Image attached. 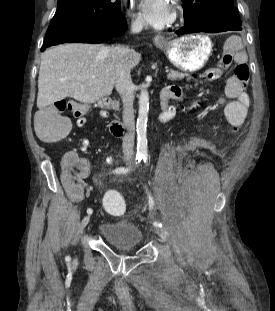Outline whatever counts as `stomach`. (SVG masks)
<instances>
[{
  "mask_svg": "<svg viewBox=\"0 0 275 311\" xmlns=\"http://www.w3.org/2000/svg\"><path fill=\"white\" fill-rule=\"evenodd\" d=\"M212 46L211 40L201 34L187 35L157 45L175 67L190 72L204 67L211 55Z\"/></svg>",
  "mask_w": 275,
  "mask_h": 311,
  "instance_id": "obj_1",
  "label": "stomach"
}]
</instances>
